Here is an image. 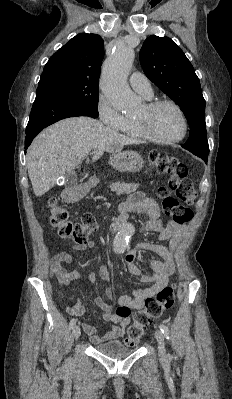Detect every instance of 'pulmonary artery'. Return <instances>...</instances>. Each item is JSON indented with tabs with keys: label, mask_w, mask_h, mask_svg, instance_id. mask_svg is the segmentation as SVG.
Returning <instances> with one entry per match:
<instances>
[{
	"label": "pulmonary artery",
	"mask_w": 232,
	"mask_h": 399,
	"mask_svg": "<svg viewBox=\"0 0 232 399\" xmlns=\"http://www.w3.org/2000/svg\"><path fill=\"white\" fill-rule=\"evenodd\" d=\"M146 80V73H139L137 69H134L131 73L130 84L138 88L136 89V96H145L149 98L152 96V83Z\"/></svg>",
	"instance_id": "1"
}]
</instances>
